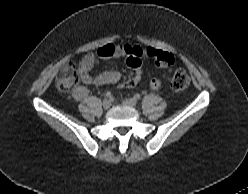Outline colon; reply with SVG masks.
Here are the masks:
<instances>
[{
    "label": "colon",
    "instance_id": "1",
    "mask_svg": "<svg viewBox=\"0 0 248 194\" xmlns=\"http://www.w3.org/2000/svg\"><path fill=\"white\" fill-rule=\"evenodd\" d=\"M154 58L156 60V64L161 68L170 67L175 63V58L172 54L159 50L154 53ZM78 79L79 75L76 65L74 63H68L60 71L57 79V87L63 92L70 91L76 87ZM131 80L137 83L139 81V73L136 72L135 76ZM189 84L190 77L188 73L183 69L176 70L171 79V87L174 90L182 91L185 90ZM128 85L129 80L123 82L121 87L126 88Z\"/></svg>",
    "mask_w": 248,
    "mask_h": 194
}]
</instances>
